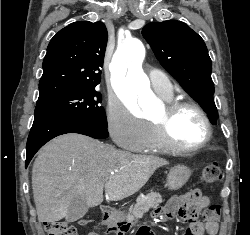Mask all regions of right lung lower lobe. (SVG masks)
Returning a JSON list of instances; mask_svg holds the SVG:
<instances>
[{
  "instance_id": "98d812e1",
  "label": "right lung lower lobe",
  "mask_w": 250,
  "mask_h": 235,
  "mask_svg": "<svg viewBox=\"0 0 250 235\" xmlns=\"http://www.w3.org/2000/svg\"><path fill=\"white\" fill-rule=\"evenodd\" d=\"M80 133L96 139L108 137L107 126L96 124L81 118L42 114L34 118L32 128L27 140L26 167L34 154L52 138L66 133Z\"/></svg>"
}]
</instances>
